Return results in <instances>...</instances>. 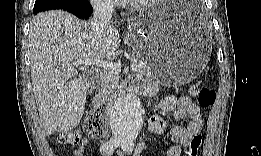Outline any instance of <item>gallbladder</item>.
I'll return each mask as SVG.
<instances>
[{
    "mask_svg": "<svg viewBox=\"0 0 261 156\" xmlns=\"http://www.w3.org/2000/svg\"><path fill=\"white\" fill-rule=\"evenodd\" d=\"M79 83H83L80 78L71 79L70 83L64 86L58 94L57 103L53 104L51 112V127L58 132H65L75 128L83 118L85 103L87 102L86 91Z\"/></svg>",
    "mask_w": 261,
    "mask_h": 156,
    "instance_id": "gallbladder-1",
    "label": "gallbladder"
}]
</instances>
